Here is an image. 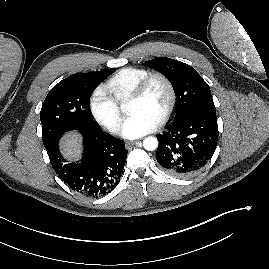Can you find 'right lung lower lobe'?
<instances>
[{"label":"right lung lower lobe","mask_w":269,"mask_h":269,"mask_svg":"<svg viewBox=\"0 0 269 269\" xmlns=\"http://www.w3.org/2000/svg\"><path fill=\"white\" fill-rule=\"evenodd\" d=\"M83 136L82 159L68 163L60 154L55 138L45 146L50 163L58 176L74 191L88 197H101L111 192L120 181L128 151L124 141L98 129L78 130Z\"/></svg>","instance_id":"1"}]
</instances>
